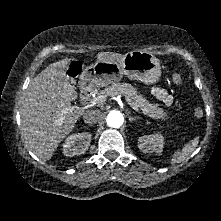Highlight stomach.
Returning <instances> with one entry per match:
<instances>
[{
    "label": "stomach",
    "instance_id": "0dacf381",
    "mask_svg": "<svg viewBox=\"0 0 221 221\" xmlns=\"http://www.w3.org/2000/svg\"><path fill=\"white\" fill-rule=\"evenodd\" d=\"M123 75L145 84H155L161 76L160 61L153 54L140 50L126 53L119 61L97 60L83 70L79 85L81 88L107 86L120 81Z\"/></svg>",
    "mask_w": 221,
    "mask_h": 221
}]
</instances>
